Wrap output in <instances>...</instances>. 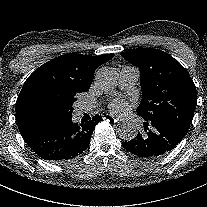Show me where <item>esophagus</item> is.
Here are the masks:
<instances>
[{"instance_id": "esophagus-1", "label": "esophagus", "mask_w": 207, "mask_h": 207, "mask_svg": "<svg viewBox=\"0 0 207 207\" xmlns=\"http://www.w3.org/2000/svg\"><path fill=\"white\" fill-rule=\"evenodd\" d=\"M104 119L111 121V122H117V118L111 114H105L104 115Z\"/></svg>"}]
</instances>
